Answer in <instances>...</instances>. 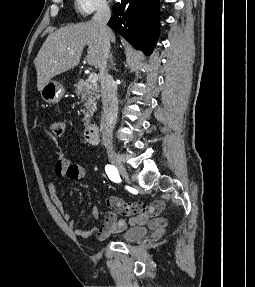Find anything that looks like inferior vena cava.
Listing matches in <instances>:
<instances>
[{
	"mask_svg": "<svg viewBox=\"0 0 255 287\" xmlns=\"http://www.w3.org/2000/svg\"><path fill=\"white\" fill-rule=\"evenodd\" d=\"M96 14L92 18L94 24H98L103 40V52L101 64L99 66V78L101 84V98L103 106L102 118V142L105 147H112L113 128L116 124L118 114V98L116 84L108 74V58H110V42L113 36L107 24L110 20L111 12L107 2L96 4Z\"/></svg>",
	"mask_w": 255,
	"mask_h": 287,
	"instance_id": "602c4592",
	"label": "inferior vena cava"
}]
</instances>
